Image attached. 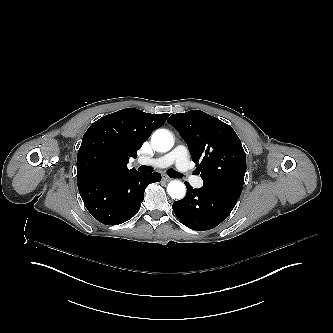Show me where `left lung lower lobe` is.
<instances>
[{"label":"left lung lower lobe","instance_id":"0a47b994","mask_svg":"<svg viewBox=\"0 0 333 333\" xmlns=\"http://www.w3.org/2000/svg\"><path fill=\"white\" fill-rule=\"evenodd\" d=\"M186 196L173 203L177 218L188 228L205 231L224 221L236 205L240 194L230 190L193 187L185 182Z\"/></svg>","mask_w":333,"mask_h":333}]
</instances>
